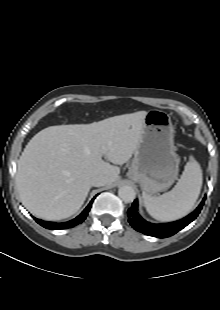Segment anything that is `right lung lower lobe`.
<instances>
[{
    "mask_svg": "<svg viewBox=\"0 0 220 310\" xmlns=\"http://www.w3.org/2000/svg\"><path fill=\"white\" fill-rule=\"evenodd\" d=\"M94 198L91 200V202L88 204V206L84 209V211L79 216H77L75 219H73L71 221L64 222V223H55V222L42 221V220H39L36 218H34V219L38 224H40L44 228H47L50 230L67 229V228L74 227V226L82 223L85 220L86 216L88 215V212L90 211V208L92 206V202L94 201Z\"/></svg>",
    "mask_w": 220,
    "mask_h": 310,
    "instance_id": "1",
    "label": "right lung lower lobe"
}]
</instances>
